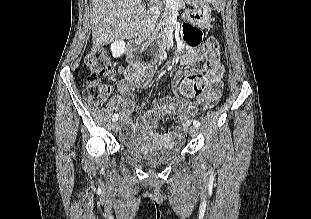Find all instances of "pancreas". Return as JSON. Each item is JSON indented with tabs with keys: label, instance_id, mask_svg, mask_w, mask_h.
Instances as JSON below:
<instances>
[{
	"label": "pancreas",
	"instance_id": "cf45deb5",
	"mask_svg": "<svg viewBox=\"0 0 311 219\" xmlns=\"http://www.w3.org/2000/svg\"><path fill=\"white\" fill-rule=\"evenodd\" d=\"M165 1V0H163ZM178 3V8L183 9L185 8V3L183 0H176ZM155 8L160 11L159 15H156L153 17V21H157L159 19V22H157V25L159 27H163L165 31H167L170 28L171 25V8L168 3L166 5H163V3L160 2V0H155Z\"/></svg>",
	"mask_w": 311,
	"mask_h": 219
}]
</instances>
